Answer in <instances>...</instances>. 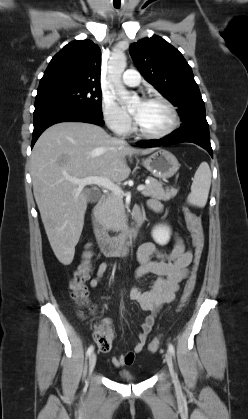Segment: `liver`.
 I'll return each mask as SVG.
<instances>
[{"instance_id":"6515ba94","label":"liver","mask_w":248,"mask_h":419,"mask_svg":"<svg viewBox=\"0 0 248 419\" xmlns=\"http://www.w3.org/2000/svg\"><path fill=\"white\" fill-rule=\"evenodd\" d=\"M155 150L132 148L90 123L62 122L43 132L30 160L33 193L51 248L62 264L73 261L91 192L71 180L92 176L122 182L131 172L126 156Z\"/></svg>"}]
</instances>
